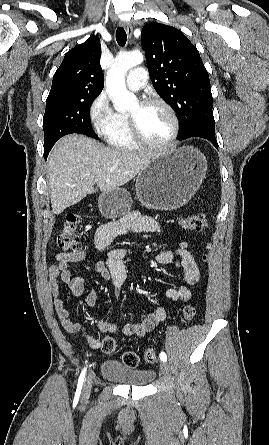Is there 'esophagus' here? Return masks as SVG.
<instances>
[{
  "label": "esophagus",
  "instance_id": "obj_1",
  "mask_svg": "<svg viewBox=\"0 0 269 445\" xmlns=\"http://www.w3.org/2000/svg\"><path fill=\"white\" fill-rule=\"evenodd\" d=\"M120 25L126 30L127 35H128L129 37H131V36H132V33H133L132 25H131L130 23H128V22H124V21L120 22Z\"/></svg>",
  "mask_w": 269,
  "mask_h": 445
}]
</instances>
